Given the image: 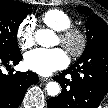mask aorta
I'll list each match as a JSON object with an SVG mask.
<instances>
[{"label":"aorta","mask_w":108,"mask_h":108,"mask_svg":"<svg viewBox=\"0 0 108 108\" xmlns=\"http://www.w3.org/2000/svg\"><path fill=\"white\" fill-rule=\"evenodd\" d=\"M55 34L49 29H39L35 33L36 42L42 47H50L53 45ZM47 93L50 96H57L60 93V85L53 81L46 85Z\"/></svg>","instance_id":"obj_1"}]
</instances>
